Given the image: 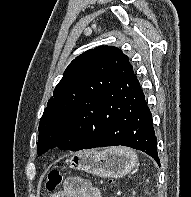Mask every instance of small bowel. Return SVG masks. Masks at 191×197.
<instances>
[{
    "instance_id": "1",
    "label": "small bowel",
    "mask_w": 191,
    "mask_h": 197,
    "mask_svg": "<svg viewBox=\"0 0 191 197\" xmlns=\"http://www.w3.org/2000/svg\"><path fill=\"white\" fill-rule=\"evenodd\" d=\"M50 197H99L98 192L86 181H67L62 189Z\"/></svg>"
}]
</instances>
